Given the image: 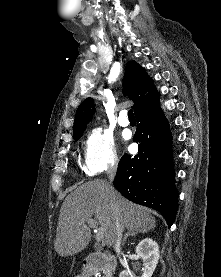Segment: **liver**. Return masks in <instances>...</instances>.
<instances>
[{
	"label": "liver",
	"instance_id": "1",
	"mask_svg": "<svg viewBox=\"0 0 221 277\" xmlns=\"http://www.w3.org/2000/svg\"><path fill=\"white\" fill-rule=\"evenodd\" d=\"M115 212L122 231L148 232L156 227L150 210L126 200L103 181H90L77 187L64 200L60 209L55 251L62 257L84 250L91 240L87 220L95 216L99 229L104 231L108 246L115 242Z\"/></svg>",
	"mask_w": 221,
	"mask_h": 277
}]
</instances>
